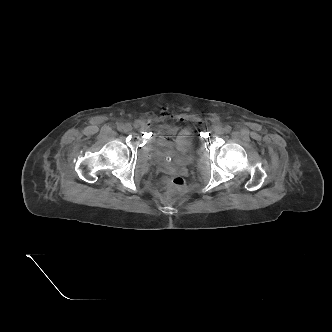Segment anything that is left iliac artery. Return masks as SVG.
Segmentation results:
<instances>
[{
  "label": "left iliac artery",
  "mask_w": 332,
  "mask_h": 332,
  "mask_svg": "<svg viewBox=\"0 0 332 332\" xmlns=\"http://www.w3.org/2000/svg\"><path fill=\"white\" fill-rule=\"evenodd\" d=\"M231 130H232L231 126H229V125L225 126V132L226 133L231 132Z\"/></svg>",
  "instance_id": "1"
}]
</instances>
